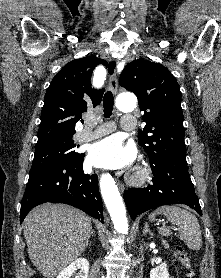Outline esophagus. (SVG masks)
I'll return each instance as SVG.
<instances>
[{
  "mask_svg": "<svg viewBox=\"0 0 221 278\" xmlns=\"http://www.w3.org/2000/svg\"><path fill=\"white\" fill-rule=\"evenodd\" d=\"M117 65H118L117 61H114L111 63V67H114V71L110 74V77H109V88L114 94L117 93V89H118ZM117 183H118L120 191L123 192L124 191L123 184L120 183L119 180L117 181Z\"/></svg>",
  "mask_w": 221,
  "mask_h": 278,
  "instance_id": "esophagus-1",
  "label": "esophagus"
}]
</instances>
